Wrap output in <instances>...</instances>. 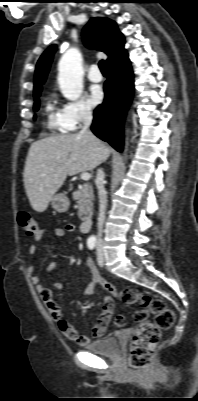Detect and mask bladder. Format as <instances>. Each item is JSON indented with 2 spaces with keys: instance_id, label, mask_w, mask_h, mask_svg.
Listing matches in <instances>:
<instances>
[{
  "instance_id": "31cf9c89",
  "label": "bladder",
  "mask_w": 198,
  "mask_h": 401,
  "mask_svg": "<svg viewBox=\"0 0 198 401\" xmlns=\"http://www.w3.org/2000/svg\"><path fill=\"white\" fill-rule=\"evenodd\" d=\"M86 349L95 354L116 357L120 352V344L116 334H108L88 344Z\"/></svg>"
}]
</instances>
